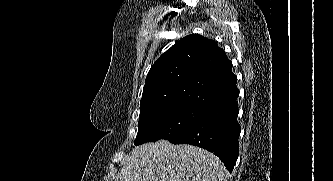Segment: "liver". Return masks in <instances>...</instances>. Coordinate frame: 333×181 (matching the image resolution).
I'll return each instance as SVG.
<instances>
[{
  "label": "liver",
  "instance_id": "obj_1",
  "mask_svg": "<svg viewBox=\"0 0 333 181\" xmlns=\"http://www.w3.org/2000/svg\"><path fill=\"white\" fill-rule=\"evenodd\" d=\"M225 173L213 153L159 140L134 148L113 181H224Z\"/></svg>",
  "mask_w": 333,
  "mask_h": 181
}]
</instances>
